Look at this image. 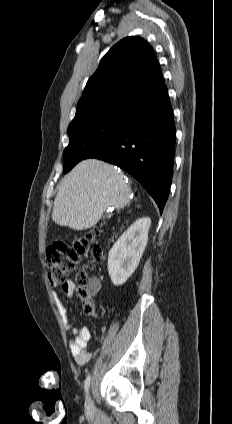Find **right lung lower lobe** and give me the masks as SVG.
Wrapping results in <instances>:
<instances>
[{"mask_svg": "<svg viewBox=\"0 0 232 424\" xmlns=\"http://www.w3.org/2000/svg\"><path fill=\"white\" fill-rule=\"evenodd\" d=\"M175 124L165 84L134 103L125 124L116 129L87 158L119 166L138 180L162 213L172 181Z\"/></svg>", "mask_w": 232, "mask_h": 424, "instance_id": "1", "label": "right lung lower lobe"}]
</instances>
